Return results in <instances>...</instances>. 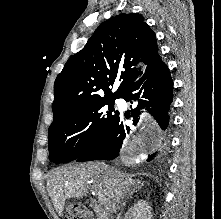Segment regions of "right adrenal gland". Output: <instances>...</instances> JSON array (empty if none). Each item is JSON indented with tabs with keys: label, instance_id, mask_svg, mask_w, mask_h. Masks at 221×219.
I'll return each instance as SVG.
<instances>
[{
	"label": "right adrenal gland",
	"instance_id": "obj_1",
	"mask_svg": "<svg viewBox=\"0 0 221 219\" xmlns=\"http://www.w3.org/2000/svg\"><path fill=\"white\" fill-rule=\"evenodd\" d=\"M141 185H143V183H142ZM140 188H141V186H139V184H137V185L132 189V191L129 193V195L127 196V199H129V198L131 199L133 193L139 191ZM125 205H126V202H123V206H125Z\"/></svg>",
	"mask_w": 221,
	"mask_h": 219
}]
</instances>
